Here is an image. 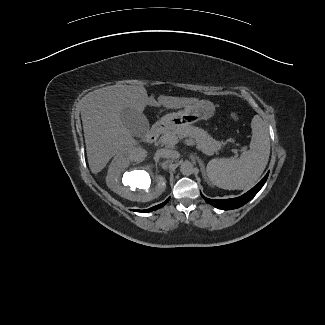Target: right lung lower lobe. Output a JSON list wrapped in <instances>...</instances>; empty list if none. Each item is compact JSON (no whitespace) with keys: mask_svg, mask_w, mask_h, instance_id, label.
I'll use <instances>...</instances> for the list:
<instances>
[{"mask_svg":"<svg viewBox=\"0 0 325 325\" xmlns=\"http://www.w3.org/2000/svg\"><path fill=\"white\" fill-rule=\"evenodd\" d=\"M168 200H169V199H168ZM168 200H166L165 202H163V203H161V204H159V205H156V206H154V207H152V208H149V209H147V210H135V211H139V212H149V211L157 210V209L163 207V206L168 202Z\"/></svg>","mask_w":325,"mask_h":325,"instance_id":"98d812e1","label":"right lung lower lobe"}]
</instances>
